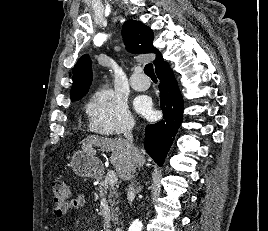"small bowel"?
<instances>
[{
    "instance_id": "c3829d8e",
    "label": "small bowel",
    "mask_w": 268,
    "mask_h": 231,
    "mask_svg": "<svg viewBox=\"0 0 268 231\" xmlns=\"http://www.w3.org/2000/svg\"><path fill=\"white\" fill-rule=\"evenodd\" d=\"M86 202V196L83 193H78L77 195H75L69 202V210H76V209H80L85 205ZM67 209V210H68ZM66 213V211H62L59 208H54V214L56 216H62Z\"/></svg>"
}]
</instances>
